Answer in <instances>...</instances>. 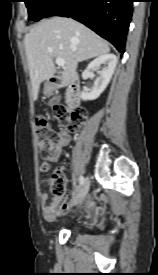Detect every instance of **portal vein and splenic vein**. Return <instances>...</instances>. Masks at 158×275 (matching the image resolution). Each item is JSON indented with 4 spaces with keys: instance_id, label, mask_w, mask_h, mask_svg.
<instances>
[{
    "instance_id": "obj_1",
    "label": "portal vein and splenic vein",
    "mask_w": 158,
    "mask_h": 275,
    "mask_svg": "<svg viewBox=\"0 0 158 275\" xmlns=\"http://www.w3.org/2000/svg\"><path fill=\"white\" fill-rule=\"evenodd\" d=\"M55 62L59 67H62L64 70L65 68V61L62 58L55 57Z\"/></svg>"
}]
</instances>
